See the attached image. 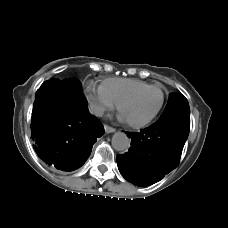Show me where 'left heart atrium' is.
<instances>
[{
    "label": "left heart atrium",
    "instance_id": "obj_1",
    "mask_svg": "<svg viewBox=\"0 0 228 228\" xmlns=\"http://www.w3.org/2000/svg\"><path fill=\"white\" fill-rule=\"evenodd\" d=\"M121 118L124 119V120H126L125 117L123 116V114H121Z\"/></svg>",
    "mask_w": 228,
    "mask_h": 228
}]
</instances>
